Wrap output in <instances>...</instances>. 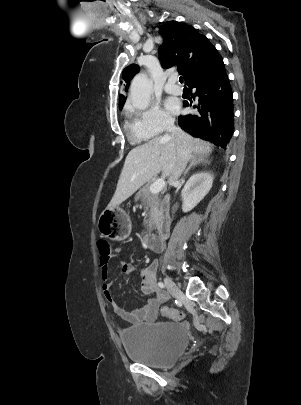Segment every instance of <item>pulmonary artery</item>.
<instances>
[{
  "mask_svg": "<svg viewBox=\"0 0 301 405\" xmlns=\"http://www.w3.org/2000/svg\"><path fill=\"white\" fill-rule=\"evenodd\" d=\"M165 91L170 94L180 95L182 94V88L177 84V79L172 77L165 85Z\"/></svg>",
  "mask_w": 301,
  "mask_h": 405,
  "instance_id": "obj_1",
  "label": "pulmonary artery"
}]
</instances>
